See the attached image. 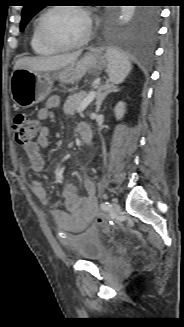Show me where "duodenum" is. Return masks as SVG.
<instances>
[{
    "label": "duodenum",
    "mask_w": 184,
    "mask_h": 327,
    "mask_svg": "<svg viewBox=\"0 0 184 327\" xmlns=\"http://www.w3.org/2000/svg\"><path fill=\"white\" fill-rule=\"evenodd\" d=\"M80 129L81 132L79 134L81 136V139L84 142H87L89 139V127L86 124H81Z\"/></svg>",
    "instance_id": "duodenum-1"
}]
</instances>
